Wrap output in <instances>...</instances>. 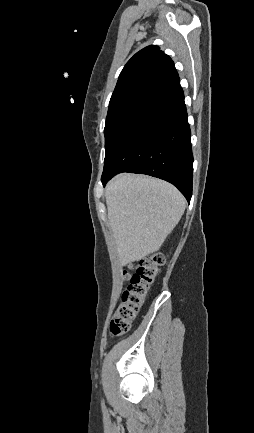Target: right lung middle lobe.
Wrapping results in <instances>:
<instances>
[{
    "label": "right lung middle lobe",
    "instance_id": "obj_1",
    "mask_svg": "<svg viewBox=\"0 0 254 433\" xmlns=\"http://www.w3.org/2000/svg\"><path fill=\"white\" fill-rule=\"evenodd\" d=\"M144 103L143 101H128L109 107L104 129L106 150L105 164L125 124Z\"/></svg>",
    "mask_w": 254,
    "mask_h": 433
}]
</instances>
